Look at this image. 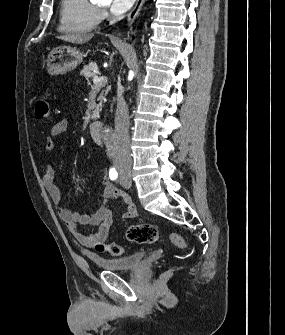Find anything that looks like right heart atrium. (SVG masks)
Listing matches in <instances>:
<instances>
[{"label":"right heart atrium","instance_id":"d8ad5b80","mask_svg":"<svg viewBox=\"0 0 285 335\" xmlns=\"http://www.w3.org/2000/svg\"><path fill=\"white\" fill-rule=\"evenodd\" d=\"M105 15L106 13L103 8L98 9L97 16H98L99 21L103 20L105 18Z\"/></svg>","mask_w":285,"mask_h":335}]
</instances>
